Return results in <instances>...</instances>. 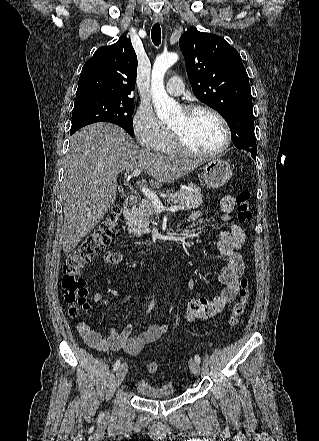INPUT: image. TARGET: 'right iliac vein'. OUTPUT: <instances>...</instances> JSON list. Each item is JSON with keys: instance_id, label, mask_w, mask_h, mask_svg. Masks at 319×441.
<instances>
[{"instance_id": "63e3f726", "label": "right iliac vein", "mask_w": 319, "mask_h": 441, "mask_svg": "<svg viewBox=\"0 0 319 441\" xmlns=\"http://www.w3.org/2000/svg\"><path fill=\"white\" fill-rule=\"evenodd\" d=\"M127 371H128V366H127L126 363H123L118 368V370L116 372V381H115L117 386H119L122 383V381L124 380V378H125V376L127 374Z\"/></svg>"}]
</instances>
